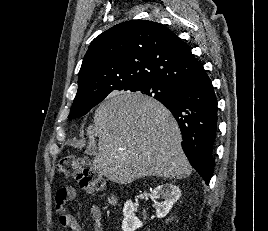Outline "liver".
<instances>
[{
  "label": "liver",
  "mask_w": 268,
  "mask_h": 231,
  "mask_svg": "<svg viewBox=\"0 0 268 231\" xmlns=\"http://www.w3.org/2000/svg\"><path fill=\"white\" fill-rule=\"evenodd\" d=\"M98 137L93 166L108 180L129 184L145 176L182 179L192 172L171 112L140 93H114L94 115Z\"/></svg>",
  "instance_id": "obj_1"
}]
</instances>
